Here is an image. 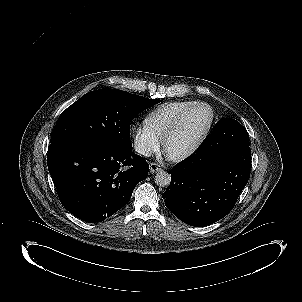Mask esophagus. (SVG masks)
Masks as SVG:
<instances>
[{
	"label": "esophagus",
	"instance_id": "34e87169",
	"mask_svg": "<svg viewBox=\"0 0 302 302\" xmlns=\"http://www.w3.org/2000/svg\"><path fill=\"white\" fill-rule=\"evenodd\" d=\"M162 170V166L158 163H150V172L156 173Z\"/></svg>",
	"mask_w": 302,
	"mask_h": 302
}]
</instances>
